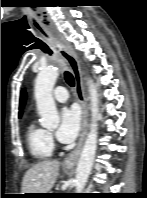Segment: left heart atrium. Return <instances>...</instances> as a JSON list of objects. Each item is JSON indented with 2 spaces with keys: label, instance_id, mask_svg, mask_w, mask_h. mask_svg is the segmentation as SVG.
<instances>
[{
  "label": "left heart atrium",
  "instance_id": "obj_1",
  "mask_svg": "<svg viewBox=\"0 0 147 198\" xmlns=\"http://www.w3.org/2000/svg\"><path fill=\"white\" fill-rule=\"evenodd\" d=\"M81 117L77 107H64L60 113V124L56 135L61 142H71L80 130Z\"/></svg>",
  "mask_w": 147,
  "mask_h": 198
}]
</instances>
